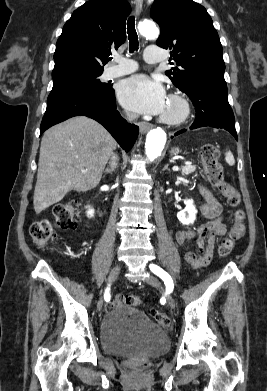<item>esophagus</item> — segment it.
<instances>
[{
    "mask_svg": "<svg viewBox=\"0 0 267 391\" xmlns=\"http://www.w3.org/2000/svg\"><path fill=\"white\" fill-rule=\"evenodd\" d=\"M134 3L136 7V14L139 15L142 10L143 0H134ZM150 128H152V124L146 122L139 123V129L141 133H146Z\"/></svg>",
    "mask_w": 267,
    "mask_h": 391,
    "instance_id": "1",
    "label": "esophagus"
}]
</instances>
